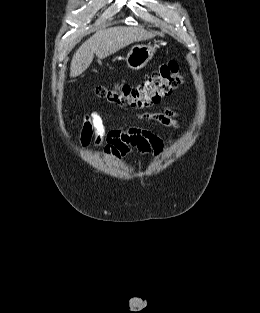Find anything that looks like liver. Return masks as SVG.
<instances>
[{"mask_svg":"<svg viewBox=\"0 0 260 313\" xmlns=\"http://www.w3.org/2000/svg\"><path fill=\"white\" fill-rule=\"evenodd\" d=\"M156 34V32L141 28L123 26L97 31L74 53L71 60L70 76L81 75L92 63L94 54L99 59H104L133 42L151 39Z\"/></svg>","mask_w":260,"mask_h":313,"instance_id":"obj_1","label":"liver"}]
</instances>
